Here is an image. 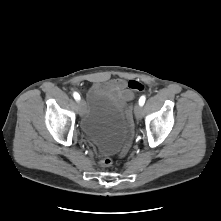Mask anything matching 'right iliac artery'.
Returning <instances> with one entry per match:
<instances>
[{"instance_id":"1","label":"right iliac artery","mask_w":221,"mask_h":221,"mask_svg":"<svg viewBox=\"0 0 221 221\" xmlns=\"http://www.w3.org/2000/svg\"><path fill=\"white\" fill-rule=\"evenodd\" d=\"M73 97H74L76 100H79V99H80V95H79L77 92H74V93H73Z\"/></svg>"}]
</instances>
